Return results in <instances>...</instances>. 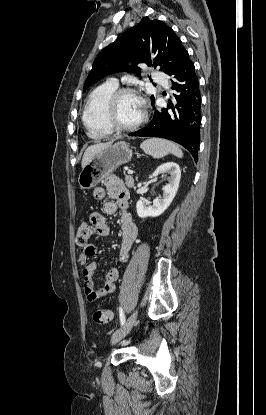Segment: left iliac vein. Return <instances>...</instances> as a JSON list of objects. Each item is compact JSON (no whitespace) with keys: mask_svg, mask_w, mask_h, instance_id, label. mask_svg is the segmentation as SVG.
I'll use <instances>...</instances> for the list:
<instances>
[{"mask_svg":"<svg viewBox=\"0 0 266 415\" xmlns=\"http://www.w3.org/2000/svg\"><path fill=\"white\" fill-rule=\"evenodd\" d=\"M137 318V311H134L126 320V322L122 325V327L117 330L111 339L112 344H116L120 340H122L132 329L133 325L136 322Z\"/></svg>","mask_w":266,"mask_h":415,"instance_id":"left-iliac-vein-1","label":"left iliac vein"}]
</instances>
